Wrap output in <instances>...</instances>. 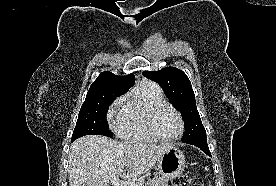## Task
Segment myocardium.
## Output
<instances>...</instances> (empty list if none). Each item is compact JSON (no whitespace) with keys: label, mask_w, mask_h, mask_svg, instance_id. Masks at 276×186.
Returning a JSON list of instances; mask_svg holds the SVG:
<instances>
[{"label":"myocardium","mask_w":276,"mask_h":186,"mask_svg":"<svg viewBox=\"0 0 276 186\" xmlns=\"http://www.w3.org/2000/svg\"><path fill=\"white\" fill-rule=\"evenodd\" d=\"M164 107H168L171 110H173L180 120V125H181L180 131L176 136H174L172 138L162 137L157 132L156 127H155L156 116H157L158 112ZM147 126H148L150 134L153 136L154 139L161 141V142H166V143L175 142V141L179 140L185 132V120H184L182 113L174 105H172L166 101L159 102V103L155 104L150 109V111L148 113V117H147Z\"/></svg>","instance_id":"f54148a6"}]
</instances>
